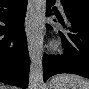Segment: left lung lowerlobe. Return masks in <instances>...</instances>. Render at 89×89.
Returning <instances> with one entry per match:
<instances>
[{"instance_id": "obj_1", "label": "left lung lower lobe", "mask_w": 89, "mask_h": 89, "mask_svg": "<svg viewBox=\"0 0 89 89\" xmlns=\"http://www.w3.org/2000/svg\"><path fill=\"white\" fill-rule=\"evenodd\" d=\"M54 0H47L46 15H52ZM65 19L58 22L65 29L59 32L64 45L61 56H43V79L59 73H72L89 78V6L61 0ZM56 21V20H54ZM50 29L51 26L47 25Z\"/></svg>"}]
</instances>
